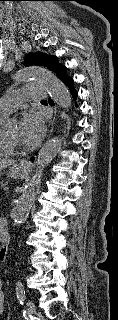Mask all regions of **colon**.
<instances>
[{
  "label": "colon",
  "mask_w": 118,
  "mask_h": 320,
  "mask_svg": "<svg viewBox=\"0 0 118 320\" xmlns=\"http://www.w3.org/2000/svg\"><path fill=\"white\" fill-rule=\"evenodd\" d=\"M4 259V253L0 251V262Z\"/></svg>",
  "instance_id": "colon-1"
}]
</instances>
